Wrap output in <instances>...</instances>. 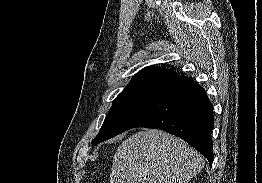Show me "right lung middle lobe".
<instances>
[{"mask_svg":"<svg viewBox=\"0 0 262 183\" xmlns=\"http://www.w3.org/2000/svg\"><path fill=\"white\" fill-rule=\"evenodd\" d=\"M157 92L120 93L114 100L98 135L92 140V145L99 144L122 133L127 124L145 108Z\"/></svg>","mask_w":262,"mask_h":183,"instance_id":"1","label":"right lung middle lobe"}]
</instances>
